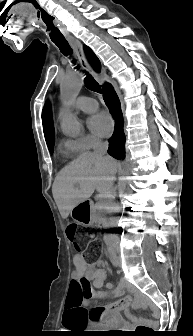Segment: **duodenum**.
<instances>
[{
  "label": "duodenum",
  "instance_id": "obj_1",
  "mask_svg": "<svg viewBox=\"0 0 193 336\" xmlns=\"http://www.w3.org/2000/svg\"><path fill=\"white\" fill-rule=\"evenodd\" d=\"M110 253H111L113 262L116 263V261H117V253H116V250H115L114 247H111ZM140 301L143 302V300H140ZM138 304H139V302H138Z\"/></svg>",
  "mask_w": 193,
  "mask_h": 336
}]
</instances>
